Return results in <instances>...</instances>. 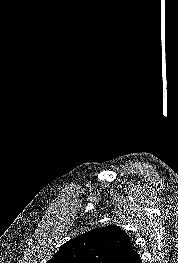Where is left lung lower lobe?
<instances>
[{
    "label": "left lung lower lobe",
    "instance_id": "1",
    "mask_svg": "<svg viewBox=\"0 0 178 263\" xmlns=\"http://www.w3.org/2000/svg\"><path fill=\"white\" fill-rule=\"evenodd\" d=\"M109 263H142L139 254L134 250L130 238L120 252Z\"/></svg>",
    "mask_w": 178,
    "mask_h": 263
}]
</instances>
